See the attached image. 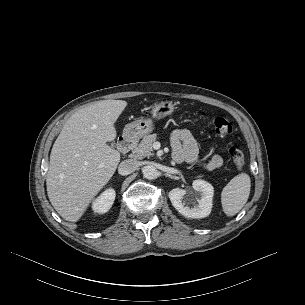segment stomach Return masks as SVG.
<instances>
[{"mask_svg": "<svg viewBox=\"0 0 305 305\" xmlns=\"http://www.w3.org/2000/svg\"><path fill=\"white\" fill-rule=\"evenodd\" d=\"M175 109L171 101H162L151 109L152 118H141L124 127L123 137L125 139H138L144 137L154 130L155 121L171 115Z\"/></svg>", "mask_w": 305, "mask_h": 305, "instance_id": "stomach-1", "label": "stomach"}]
</instances>
